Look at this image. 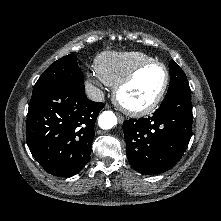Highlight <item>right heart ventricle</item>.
Returning <instances> with one entry per match:
<instances>
[{"label":"right heart ventricle","mask_w":221,"mask_h":221,"mask_svg":"<svg viewBox=\"0 0 221 221\" xmlns=\"http://www.w3.org/2000/svg\"><path fill=\"white\" fill-rule=\"evenodd\" d=\"M150 60L153 58L139 51H107L96 58L95 72L105 84L115 86L136 66Z\"/></svg>","instance_id":"1"}]
</instances>
